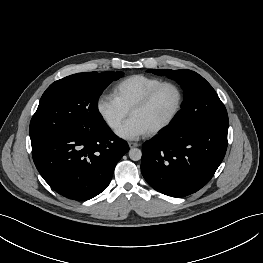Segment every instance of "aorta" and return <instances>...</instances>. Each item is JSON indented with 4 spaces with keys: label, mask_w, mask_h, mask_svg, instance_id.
<instances>
[{
    "label": "aorta",
    "mask_w": 263,
    "mask_h": 263,
    "mask_svg": "<svg viewBox=\"0 0 263 263\" xmlns=\"http://www.w3.org/2000/svg\"><path fill=\"white\" fill-rule=\"evenodd\" d=\"M129 157H130V159L133 160V161H138V160H140L141 157H142V152H141V150L138 149V148H131V149L129 150Z\"/></svg>",
    "instance_id": "1"
}]
</instances>
